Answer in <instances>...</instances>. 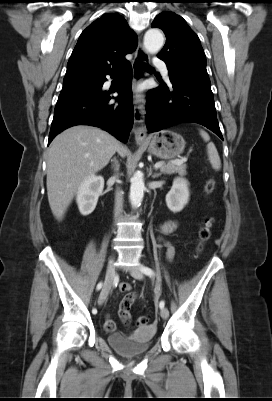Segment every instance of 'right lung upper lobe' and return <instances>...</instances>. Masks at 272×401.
Segmentation results:
<instances>
[{
  "label": "right lung upper lobe",
  "instance_id": "cb5924a9",
  "mask_svg": "<svg viewBox=\"0 0 272 401\" xmlns=\"http://www.w3.org/2000/svg\"><path fill=\"white\" fill-rule=\"evenodd\" d=\"M137 43L121 15L104 14L81 33L67 64L62 91L97 82L119 69Z\"/></svg>",
  "mask_w": 272,
  "mask_h": 401
}]
</instances>
